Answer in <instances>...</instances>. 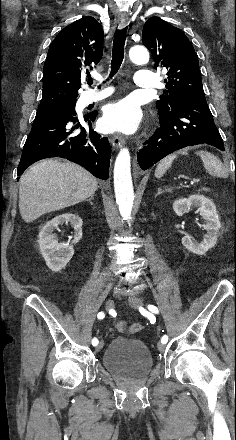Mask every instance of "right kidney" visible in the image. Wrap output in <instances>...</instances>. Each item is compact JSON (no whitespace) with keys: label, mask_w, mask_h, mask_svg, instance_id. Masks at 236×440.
Wrapping results in <instances>:
<instances>
[{"label":"right kidney","mask_w":236,"mask_h":440,"mask_svg":"<svg viewBox=\"0 0 236 440\" xmlns=\"http://www.w3.org/2000/svg\"><path fill=\"white\" fill-rule=\"evenodd\" d=\"M64 223H70L74 229V239L71 244L59 243L53 234L54 229ZM82 219L72 213L56 216L48 221L39 233V247L48 268L54 272L60 271L74 255L73 245L82 238Z\"/></svg>","instance_id":"1"}]
</instances>
